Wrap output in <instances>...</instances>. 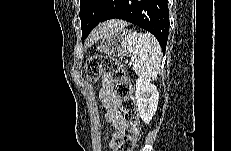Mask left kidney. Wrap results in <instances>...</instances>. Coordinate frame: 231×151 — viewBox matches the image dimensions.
<instances>
[{
  "instance_id": "obj_1",
  "label": "left kidney",
  "mask_w": 231,
  "mask_h": 151,
  "mask_svg": "<svg viewBox=\"0 0 231 151\" xmlns=\"http://www.w3.org/2000/svg\"><path fill=\"white\" fill-rule=\"evenodd\" d=\"M135 96L138 115L144 123L149 124L158 106L159 92L157 87L150 81L138 78Z\"/></svg>"
}]
</instances>
